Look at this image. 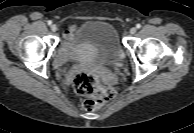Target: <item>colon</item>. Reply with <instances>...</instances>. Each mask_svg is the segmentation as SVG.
I'll use <instances>...</instances> for the list:
<instances>
[{
  "label": "colon",
  "mask_w": 194,
  "mask_h": 133,
  "mask_svg": "<svg viewBox=\"0 0 194 133\" xmlns=\"http://www.w3.org/2000/svg\"><path fill=\"white\" fill-rule=\"evenodd\" d=\"M73 89L76 94L83 96L85 109L92 111L101 108L115 97L113 87L102 85L94 74L78 73L73 81Z\"/></svg>",
  "instance_id": "1"
}]
</instances>
